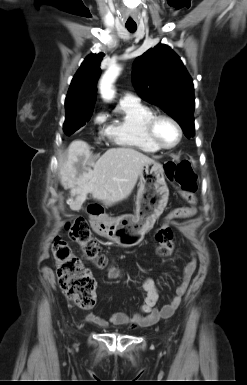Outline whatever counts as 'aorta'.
I'll use <instances>...</instances> for the list:
<instances>
[{
  "label": "aorta",
  "instance_id": "1",
  "mask_svg": "<svg viewBox=\"0 0 247 385\" xmlns=\"http://www.w3.org/2000/svg\"><path fill=\"white\" fill-rule=\"evenodd\" d=\"M120 71L121 67L117 64L110 65L106 70L100 81V92L103 99L109 101L114 98L115 91L113 89V84L120 74Z\"/></svg>",
  "mask_w": 247,
  "mask_h": 385
}]
</instances>
